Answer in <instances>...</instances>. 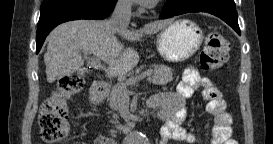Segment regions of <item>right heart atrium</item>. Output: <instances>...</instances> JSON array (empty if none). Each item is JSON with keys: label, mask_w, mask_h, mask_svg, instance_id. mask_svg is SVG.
Segmentation results:
<instances>
[{"label": "right heart atrium", "mask_w": 273, "mask_h": 144, "mask_svg": "<svg viewBox=\"0 0 273 144\" xmlns=\"http://www.w3.org/2000/svg\"><path fill=\"white\" fill-rule=\"evenodd\" d=\"M131 1L130 0H119L118 5L121 6L124 9H127L130 7Z\"/></svg>", "instance_id": "obj_1"}]
</instances>
